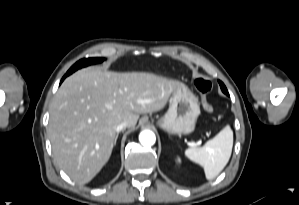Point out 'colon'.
I'll use <instances>...</instances> for the list:
<instances>
[{"label":"colon","mask_w":299,"mask_h":205,"mask_svg":"<svg viewBox=\"0 0 299 205\" xmlns=\"http://www.w3.org/2000/svg\"><path fill=\"white\" fill-rule=\"evenodd\" d=\"M195 87L202 97V105L206 112L212 113L213 106L208 98L213 89V84L206 78H198L195 80Z\"/></svg>","instance_id":"obj_1"}]
</instances>
